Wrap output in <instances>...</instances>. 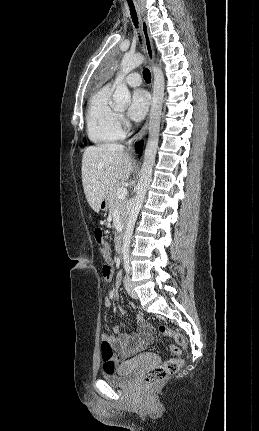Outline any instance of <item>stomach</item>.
<instances>
[{
  "label": "stomach",
  "instance_id": "stomach-1",
  "mask_svg": "<svg viewBox=\"0 0 259 431\" xmlns=\"http://www.w3.org/2000/svg\"><path fill=\"white\" fill-rule=\"evenodd\" d=\"M109 207L108 197H106L99 205L100 210H106Z\"/></svg>",
  "mask_w": 259,
  "mask_h": 431
}]
</instances>
